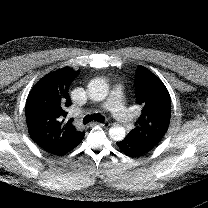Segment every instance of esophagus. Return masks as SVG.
<instances>
[{
	"mask_svg": "<svg viewBox=\"0 0 208 208\" xmlns=\"http://www.w3.org/2000/svg\"><path fill=\"white\" fill-rule=\"evenodd\" d=\"M90 125H91V126L98 125V126H101V127H108L110 124H109V122L104 121V122H102V123H100V122H93V123L90 124Z\"/></svg>",
	"mask_w": 208,
	"mask_h": 208,
	"instance_id": "34e87169",
	"label": "esophagus"
}]
</instances>
